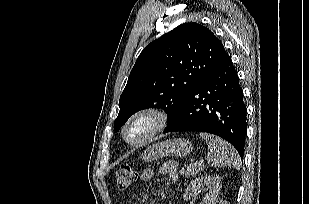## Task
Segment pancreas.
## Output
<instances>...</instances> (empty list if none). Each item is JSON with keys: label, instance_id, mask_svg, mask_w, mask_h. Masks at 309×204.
Returning <instances> with one entry per match:
<instances>
[{"label": "pancreas", "instance_id": "obj_1", "mask_svg": "<svg viewBox=\"0 0 309 204\" xmlns=\"http://www.w3.org/2000/svg\"><path fill=\"white\" fill-rule=\"evenodd\" d=\"M203 170V166L199 163H191L187 166H185L181 171V175H185V177H190L193 175H196L200 171Z\"/></svg>", "mask_w": 309, "mask_h": 204}]
</instances>
